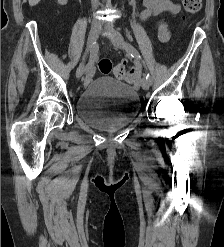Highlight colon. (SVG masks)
<instances>
[{
	"label": "colon",
	"instance_id": "colon-1",
	"mask_svg": "<svg viewBox=\"0 0 224 247\" xmlns=\"http://www.w3.org/2000/svg\"><path fill=\"white\" fill-rule=\"evenodd\" d=\"M59 4H63L65 0H58ZM184 10L187 14L193 15L200 11L202 7V0H182ZM99 71L102 74L114 73L118 79H123L126 82L133 84L137 80L136 73L132 70H126L123 65H117L115 68L112 66V62L109 58L103 57L98 63Z\"/></svg>",
	"mask_w": 224,
	"mask_h": 247
}]
</instances>
